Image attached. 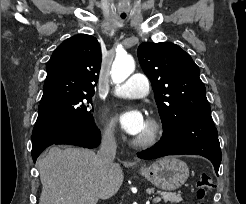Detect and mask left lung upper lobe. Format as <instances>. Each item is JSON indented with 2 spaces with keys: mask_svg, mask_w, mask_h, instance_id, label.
Instances as JSON below:
<instances>
[{
  "mask_svg": "<svg viewBox=\"0 0 246 204\" xmlns=\"http://www.w3.org/2000/svg\"><path fill=\"white\" fill-rule=\"evenodd\" d=\"M137 54L152 83L163 130L179 120L210 115L199 67L188 53L173 43L144 42Z\"/></svg>",
  "mask_w": 246,
  "mask_h": 204,
  "instance_id": "obj_1",
  "label": "left lung upper lobe"
}]
</instances>
